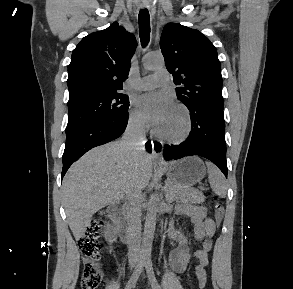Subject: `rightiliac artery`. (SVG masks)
I'll use <instances>...</instances> for the list:
<instances>
[{
  "mask_svg": "<svg viewBox=\"0 0 293 289\" xmlns=\"http://www.w3.org/2000/svg\"><path fill=\"white\" fill-rule=\"evenodd\" d=\"M143 266H144V259L141 258L130 278V280L128 281L125 289H131L132 287H134V285L136 284L138 278H139V275L140 273L142 272L143 270Z\"/></svg>",
  "mask_w": 293,
  "mask_h": 289,
  "instance_id": "right-iliac-artery-1",
  "label": "right iliac artery"
}]
</instances>
